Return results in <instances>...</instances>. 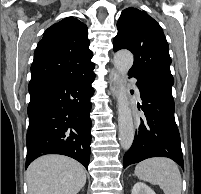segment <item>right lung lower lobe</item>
I'll return each instance as SVG.
<instances>
[{
    "mask_svg": "<svg viewBox=\"0 0 201 194\" xmlns=\"http://www.w3.org/2000/svg\"><path fill=\"white\" fill-rule=\"evenodd\" d=\"M94 79L92 70L73 79L29 83L26 168L34 159L46 154L66 155L88 168Z\"/></svg>",
    "mask_w": 201,
    "mask_h": 194,
    "instance_id": "right-lung-lower-lobe-1",
    "label": "right lung lower lobe"
}]
</instances>
